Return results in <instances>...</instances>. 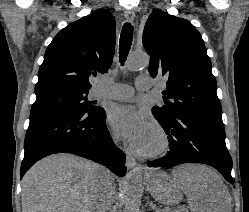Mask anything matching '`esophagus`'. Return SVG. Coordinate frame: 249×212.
Instances as JSON below:
<instances>
[{
	"label": "esophagus",
	"mask_w": 249,
	"mask_h": 212,
	"mask_svg": "<svg viewBox=\"0 0 249 212\" xmlns=\"http://www.w3.org/2000/svg\"><path fill=\"white\" fill-rule=\"evenodd\" d=\"M125 18L128 22H133L135 19V13L132 10H126L125 11ZM136 165V160L132 155H127L126 156V167L128 170H131L135 167Z\"/></svg>",
	"instance_id": "obj_1"
}]
</instances>
